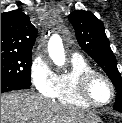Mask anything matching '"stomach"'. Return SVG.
<instances>
[{"instance_id":"stomach-1","label":"stomach","mask_w":122,"mask_h":123,"mask_svg":"<svg viewBox=\"0 0 122 123\" xmlns=\"http://www.w3.org/2000/svg\"><path fill=\"white\" fill-rule=\"evenodd\" d=\"M90 123H102V121L101 122L94 121V122H90Z\"/></svg>"}]
</instances>
